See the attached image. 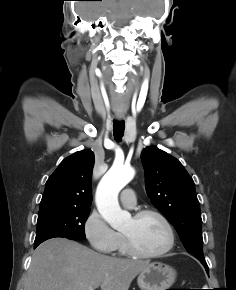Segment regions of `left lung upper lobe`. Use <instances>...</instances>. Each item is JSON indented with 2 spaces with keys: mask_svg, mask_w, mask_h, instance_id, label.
<instances>
[{
  "mask_svg": "<svg viewBox=\"0 0 236 290\" xmlns=\"http://www.w3.org/2000/svg\"><path fill=\"white\" fill-rule=\"evenodd\" d=\"M151 203L175 227L188 253L208 268L203 255L202 219L194 181L173 156L147 147L141 154Z\"/></svg>",
  "mask_w": 236,
  "mask_h": 290,
  "instance_id": "obj_1",
  "label": "left lung upper lobe"
}]
</instances>
